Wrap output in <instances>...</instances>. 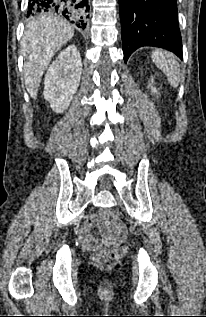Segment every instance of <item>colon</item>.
<instances>
[{
	"label": "colon",
	"instance_id": "1",
	"mask_svg": "<svg viewBox=\"0 0 206 317\" xmlns=\"http://www.w3.org/2000/svg\"><path fill=\"white\" fill-rule=\"evenodd\" d=\"M99 216L106 221L112 220V213L109 210H102ZM115 225H118V223L115 222ZM85 247L92 252L94 260L99 264L110 263L125 252L124 246H112L101 239H91Z\"/></svg>",
	"mask_w": 206,
	"mask_h": 317
}]
</instances>
